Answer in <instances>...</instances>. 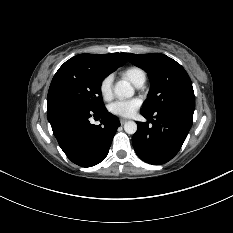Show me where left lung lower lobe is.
<instances>
[{
	"mask_svg": "<svg viewBox=\"0 0 233 233\" xmlns=\"http://www.w3.org/2000/svg\"><path fill=\"white\" fill-rule=\"evenodd\" d=\"M148 122H138L132 143L138 157L146 163L161 165L180 150L193 123V114L163 110L153 114L141 111ZM152 122V126L149 123Z\"/></svg>",
	"mask_w": 233,
	"mask_h": 233,
	"instance_id": "0a47b994",
	"label": "left lung lower lobe"
}]
</instances>
